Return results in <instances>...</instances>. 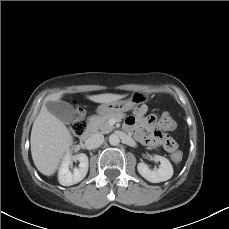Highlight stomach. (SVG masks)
Returning <instances> with one entry per match:
<instances>
[{"label":"stomach","mask_w":229,"mask_h":229,"mask_svg":"<svg viewBox=\"0 0 229 229\" xmlns=\"http://www.w3.org/2000/svg\"><path fill=\"white\" fill-rule=\"evenodd\" d=\"M147 100V95L136 92L131 95L127 100L115 101L111 103H103L97 108V113L101 116L111 115V114H122L127 112L137 105L145 102Z\"/></svg>","instance_id":"obj_1"}]
</instances>
